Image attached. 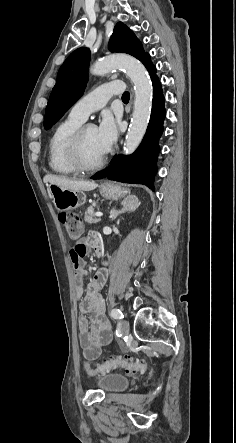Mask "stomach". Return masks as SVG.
<instances>
[{"label":"stomach","instance_id":"0dacf381","mask_svg":"<svg viewBox=\"0 0 236 443\" xmlns=\"http://www.w3.org/2000/svg\"><path fill=\"white\" fill-rule=\"evenodd\" d=\"M48 190L57 210L68 211L83 206L86 202V195L83 191H73L64 189L55 184H50ZM101 195L109 200H118L124 197L129 190L119 185H109L100 189Z\"/></svg>","mask_w":236,"mask_h":443}]
</instances>
